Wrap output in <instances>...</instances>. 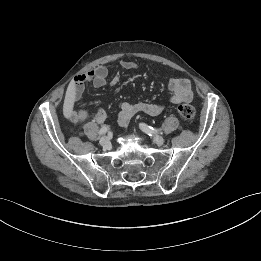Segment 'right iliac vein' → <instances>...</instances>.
Masks as SVG:
<instances>
[{
	"mask_svg": "<svg viewBox=\"0 0 261 261\" xmlns=\"http://www.w3.org/2000/svg\"><path fill=\"white\" fill-rule=\"evenodd\" d=\"M100 145L107 148L109 145H110V141H109V138L104 136L100 139L99 141Z\"/></svg>",
	"mask_w": 261,
	"mask_h": 261,
	"instance_id": "1",
	"label": "right iliac vein"
}]
</instances>
